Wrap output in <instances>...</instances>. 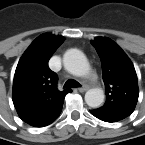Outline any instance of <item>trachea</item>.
Returning <instances> with one entry per match:
<instances>
[{
  "instance_id": "trachea-1",
  "label": "trachea",
  "mask_w": 145,
  "mask_h": 145,
  "mask_svg": "<svg viewBox=\"0 0 145 145\" xmlns=\"http://www.w3.org/2000/svg\"><path fill=\"white\" fill-rule=\"evenodd\" d=\"M73 87H81V85L73 79L68 80L65 84H64V88H73Z\"/></svg>"
}]
</instances>
